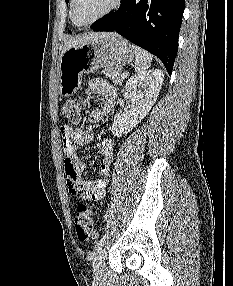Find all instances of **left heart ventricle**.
I'll return each instance as SVG.
<instances>
[{
	"instance_id": "b2bd125f",
	"label": "left heart ventricle",
	"mask_w": 233,
	"mask_h": 286,
	"mask_svg": "<svg viewBox=\"0 0 233 286\" xmlns=\"http://www.w3.org/2000/svg\"><path fill=\"white\" fill-rule=\"evenodd\" d=\"M114 0H76L75 19L79 23H86L104 11H106Z\"/></svg>"
}]
</instances>
